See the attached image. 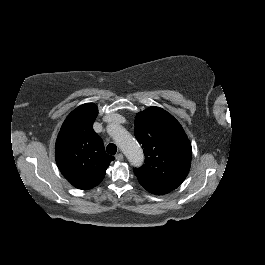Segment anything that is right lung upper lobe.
<instances>
[{
  "label": "right lung upper lobe",
  "instance_id": "obj_1",
  "mask_svg": "<svg viewBox=\"0 0 265 265\" xmlns=\"http://www.w3.org/2000/svg\"><path fill=\"white\" fill-rule=\"evenodd\" d=\"M98 108L86 103L73 110L58 134L55 158L62 175L79 189H91L104 178L113 156L105 152L103 141L93 130Z\"/></svg>",
  "mask_w": 265,
  "mask_h": 265
}]
</instances>
